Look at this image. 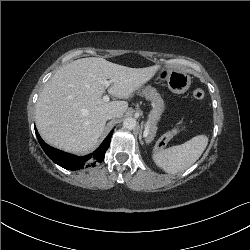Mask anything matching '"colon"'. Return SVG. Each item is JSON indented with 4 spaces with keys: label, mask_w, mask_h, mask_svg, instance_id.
Listing matches in <instances>:
<instances>
[{
    "label": "colon",
    "mask_w": 250,
    "mask_h": 250,
    "mask_svg": "<svg viewBox=\"0 0 250 250\" xmlns=\"http://www.w3.org/2000/svg\"><path fill=\"white\" fill-rule=\"evenodd\" d=\"M205 96V92L202 88H196L193 91V97L196 100H202ZM183 129V127H178V128H174L171 131L167 132L166 134H164L158 141V144L155 146V148L152 150L151 155L153 158L158 159L161 157V155L164 153L165 151V146L168 144V142L175 136L177 135L181 130Z\"/></svg>",
    "instance_id": "1"
}]
</instances>
